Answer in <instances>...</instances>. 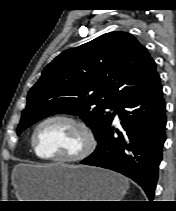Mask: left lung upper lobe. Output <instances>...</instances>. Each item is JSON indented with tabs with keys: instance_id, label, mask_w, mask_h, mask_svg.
<instances>
[{
	"instance_id": "left-lung-upper-lobe-1",
	"label": "left lung upper lobe",
	"mask_w": 176,
	"mask_h": 211,
	"mask_svg": "<svg viewBox=\"0 0 176 211\" xmlns=\"http://www.w3.org/2000/svg\"><path fill=\"white\" fill-rule=\"evenodd\" d=\"M159 79L154 60L131 34L110 32L62 52L27 96L19 135L50 115H79L99 140L123 100Z\"/></svg>"
}]
</instances>
